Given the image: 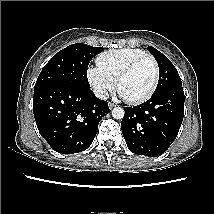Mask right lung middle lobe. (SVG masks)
Returning <instances> with one entry per match:
<instances>
[{
	"label": "right lung middle lobe",
	"instance_id": "1",
	"mask_svg": "<svg viewBox=\"0 0 214 214\" xmlns=\"http://www.w3.org/2000/svg\"><path fill=\"white\" fill-rule=\"evenodd\" d=\"M104 48L72 44L56 53L43 67L34 88L49 83H63L90 89L87 68L92 58Z\"/></svg>",
	"mask_w": 214,
	"mask_h": 214
}]
</instances>
